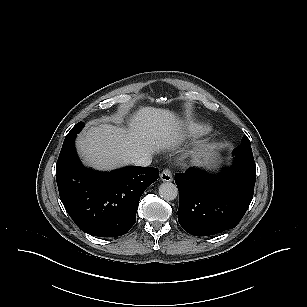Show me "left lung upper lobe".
<instances>
[{
    "mask_svg": "<svg viewBox=\"0 0 307 307\" xmlns=\"http://www.w3.org/2000/svg\"><path fill=\"white\" fill-rule=\"evenodd\" d=\"M234 155L238 157H244L247 159H253V153L250 146V141L246 135L242 139V144L234 149Z\"/></svg>",
    "mask_w": 307,
    "mask_h": 307,
    "instance_id": "left-lung-upper-lobe-1",
    "label": "left lung upper lobe"
}]
</instances>
